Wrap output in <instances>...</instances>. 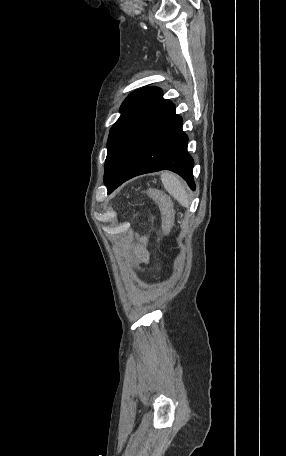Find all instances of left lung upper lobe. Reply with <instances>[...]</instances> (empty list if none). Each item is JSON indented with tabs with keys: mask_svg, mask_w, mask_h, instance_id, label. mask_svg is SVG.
<instances>
[{
	"mask_svg": "<svg viewBox=\"0 0 286 456\" xmlns=\"http://www.w3.org/2000/svg\"><path fill=\"white\" fill-rule=\"evenodd\" d=\"M162 95L160 88L146 87L134 91L122 103L121 116L112 126L107 142L104 174L107 187L137 136L172 105Z\"/></svg>",
	"mask_w": 286,
	"mask_h": 456,
	"instance_id": "left-lung-upper-lobe-1",
	"label": "left lung upper lobe"
}]
</instances>
